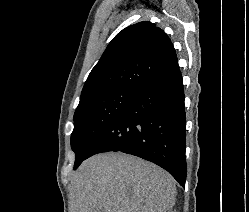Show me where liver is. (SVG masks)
<instances>
[{
	"label": "liver",
	"instance_id": "6515ba94",
	"mask_svg": "<svg viewBox=\"0 0 249 212\" xmlns=\"http://www.w3.org/2000/svg\"><path fill=\"white\" fill-rule=\"evenodd\" d=\"M172 176L136 156L97 154L71 178V212H168L175 204Z\"/></svg>",
	"mask_w": 249,
	"mask_h": 212
}]
</instances>
